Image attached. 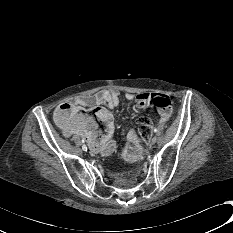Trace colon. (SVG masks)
Instances as JSON below:
<instances>
[{"mask_svg": "<svg viewBox=\"0 0 233 233\" xmlns=\"http://www.w3.org/2000/svg\"><path fill=\"white\" fill-rule=\"evenodd\" d=\"M150 105L155 107L158 111H169L171 107V100L165 95H156L150 100ZM76 113V109L70 103H64L58 107L55 113L57 122L62 126L71 125V118ZM94 117L100 121L105 120L109 115V111L103 107H96L92 110ZM89 116V115H87ZM86 115L81 116L80 123L83 124ZM151 135V122L148 117H144L139 122V129L137 136L130 139V146H138L149 139Z\"/></svg>", "mask_w": 233, "mask_h": 233, "instance_id": "obj_1", "label": "colon"}]
</instances>
